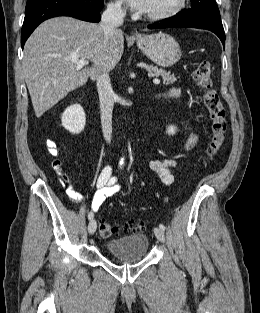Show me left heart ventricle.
<instances>
[{"label": "left heart ventricle", "mask_w": 260, "mask_h": 313, "mask_svg": "<svg viewBox=\"0 0 260 313\" xmlns=\"http://www.w3.org/2000/svg\"><path fill=\"white\" fill-rule=\"evenodd\" d=\"M177 0H149L146 13H159L168 10Z\"/></svg>", "instance_id": "obj_1"}]
</instances>
